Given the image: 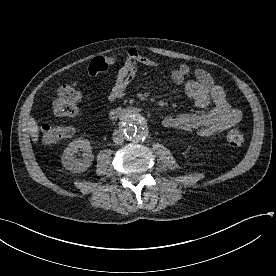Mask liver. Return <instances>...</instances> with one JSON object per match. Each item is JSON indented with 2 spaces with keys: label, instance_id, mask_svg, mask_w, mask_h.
<instances>
[{
  "label": "liver",
  "instance_id": "6515ba94",
  "mask_svg": "<svg viewBox=\"0 0 276 276\" xmlns=\"http://www.w3.org/2000/svg\"><path fill=\"white\" fill-rule=\"evenodd\" d=\"M28 127H29L30 135L32 137V141L34 143H37L38 137H39V127L34 118H30L28 122Z\"/></svg>",
  "mask_w": 276,
  "mask_h": 276
}]
</instances>
